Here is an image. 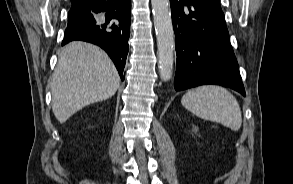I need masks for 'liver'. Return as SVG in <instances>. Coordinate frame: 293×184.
Masks as SVG:
<instances>
[{
  "label": "liver",
  "mask_w": 293,
  "mask_h": 184,
  "mask_svg": "<svg viewBox=\"0 0 293 184\" xmlns=\"http://www.w3.org/2000/svg\"><path fill=\"white\" fill-rule=\"evenodd\" d=\"M120 77L108 55L90 43L74 41L63 47L51 79L52 111L65 123L84 107L112 97Z\"/></svg>",
  "instance_id": "1"
}]
</instances>
